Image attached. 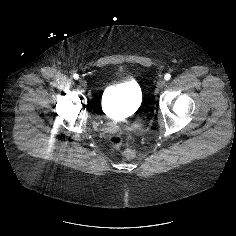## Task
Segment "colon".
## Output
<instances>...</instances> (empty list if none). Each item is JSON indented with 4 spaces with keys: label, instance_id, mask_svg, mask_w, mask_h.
Returning <instances> with one entry per match:
<instances>
[{
    "label": "colon",
    "instance_id": "1",
    "mask_svg": "<svg viewBox=\"0 0 236 236\" xmlns=\"http://www.w3.org/2000/svg\"><path fill=\"white\" fill-rule=\"evenodd\" d=\"M109 143L114 149L119 150L123 156L127 158L135 156V152L132 149L124 148V139L120 135L110 136Z\"/></svg>",
    "mask_w": 236,
    "mask_h": 236
}]
</instances>
